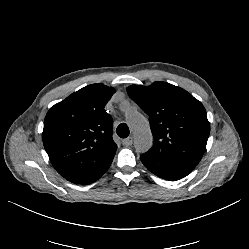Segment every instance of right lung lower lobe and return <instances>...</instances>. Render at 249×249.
<instances>
[{"mask_svg":"<svg viewBox=\"0 0 249 249\" xmlns=\"http://www.w3.org/2000/svg\"><path fill=\"white\" fill-rule=\"evenodd\" d=\"M112 161L108 162L99 172H97L96 174H94L92 177H90L89 179H87L86 181H84L81 184H90L92 182H95L97 179H99L110 167Z\"/></svg>","mask_w":249,"mask_h":249,"instance_id":"1","label":"right lung lower lobe"}]
</instances>
